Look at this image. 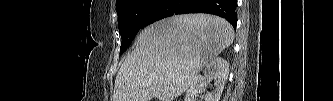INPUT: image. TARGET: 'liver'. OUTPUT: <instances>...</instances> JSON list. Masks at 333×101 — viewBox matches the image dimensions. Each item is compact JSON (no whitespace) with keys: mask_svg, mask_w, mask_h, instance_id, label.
<instances>
[{"mask_svg":"<svg viewBox=\"0 0 333 101\" xmlns=\"http://www.w3.org/2000/svg\"><path fill=\"white\" fill-rule=\"evenodd\" d=\"M233 40L230 23L209 14L176 15L149 25L117 73L113 101H174Z\"/></svg>","mask_w":333,"mask_h":101,"instance_id":"liver-1","label":"liver"}]
</instances>
